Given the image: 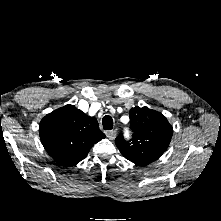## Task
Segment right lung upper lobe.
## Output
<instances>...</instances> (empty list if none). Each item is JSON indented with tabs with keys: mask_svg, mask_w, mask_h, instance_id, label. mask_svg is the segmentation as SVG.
Returning a JSON list of instances; mask_svg holds the SVG:
<instances>
[{
	"mask_svg": "<svg viewBox=\"0 0 221 221\" xmlns=\"http://www.w3.org/2000/svg\"><path fill=\"white\" fill-rule=\"evenodd\" d=\"M39 134L48 154L63 167L79 163L105 138L97 120L73 105L47 114L40 122Z\"/></svg>",
	"mask_w": 221,
	"mask_h": 221,
	"instance_id": "1",
	"label": "right lung upper lobe"
}]
</instances>
